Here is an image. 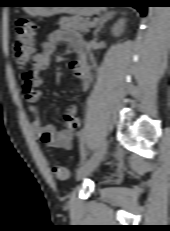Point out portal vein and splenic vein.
Instances as JSON below:
<instances>
[{"mask_svg": "<svg viewBox=\"0 0 170 231\" xmlns=\"http://www.w3.org/2000/svg\"><path fill=\"white\" fill-rule=\"evenodd\" d=\"M94 25H95V23H94V22H91L90 26H94Z\"/></svg>", "mask_w": 170, "mask_h": 231, "instance_id": "portal-vein-and-splenic-vein-1", "label": "portal vein and splenic vein"}]
</instances>
